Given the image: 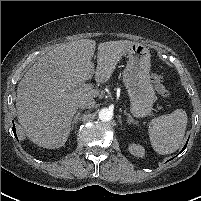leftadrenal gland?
<instances>
[{
    "label": "left adrenal gland",
    "instance_id": "obj_1",
    "mask_svg": "<svg viewBox=\"0 0 201 201\" xmlns=\"http://www.w3.org/2000/svg\"><path fill=\"white\" fill-rule=\"evenodd\" d=\"M124 114L127 116V122H128L129 124L134 123V124H136V125L138 126V122L135 121V120L132 118V116H131L129 113L126 112V110H124Z\"/></svg>",
    "mask_w": 201,
    "mask_h": 201
}]
</instances>
